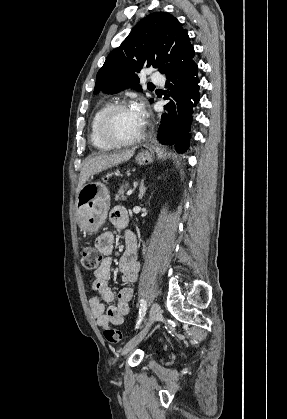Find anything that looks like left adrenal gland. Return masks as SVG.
<instances>
[{
  "mask_svg": "<svg viewBox=\"0 0 287 419\" xmlns=\"http://www.w3.org/2000/svg\"><path fill=\"white\" fill-rule=\"evenodd\" d=\"M147 188L144 186V180H142L140 182V186H139V195L138 198L142 199L144 194L146 193Z\"/></svg>",
  "mask_w": 287,
  "mask_h": 419,
  "instance_id": "obj_1",
  "label": "left adrenal gland"
}]
</instances>
